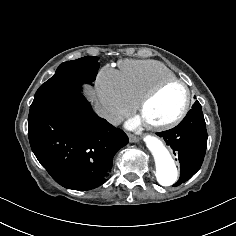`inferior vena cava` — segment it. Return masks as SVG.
<instances>
[{"label": "inferior vena cava", "mask_w": 236, "mask_h": 236, "mask_svg": "<svg viewBox=\"0 0 236 236\" xmlns=\"http://www.w3.org/2000/svg\"><path fill=\"white\" fill-rule=\"evenodd\" d=\"M96 112L99 116L105 118L108 122H110L111 124H115L116 123V117L114 115V111H111L109 108H105V107H96Z\"/></svg>", "instance_id": "1"}]
</instances>
